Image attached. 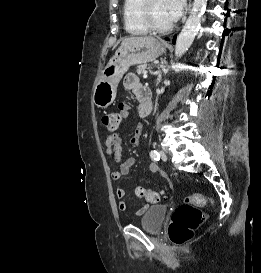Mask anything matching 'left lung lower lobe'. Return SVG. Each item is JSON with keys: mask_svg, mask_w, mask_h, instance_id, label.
<instances>
[{"mask_svg": "<svg viewBox=\"0 0 261 273\" xmlns=\"http://www.w3.org/2000/svg\"><path fill=\"white\" fill-rule=\"evenodd\" d=\"M175 38H176V35L174 36V40L173 41H175ZM174 43V42H173Z\"/></svg>", "mask_w": 261, "mask_h": 273, "instance_id": "1", "label": "left lung lower lobe"}]
</instances>
